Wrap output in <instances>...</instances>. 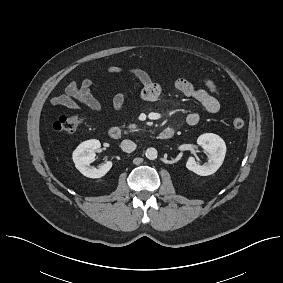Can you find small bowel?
<instances>
[{
	"mask_svg": "<svg viewBox=\"0 0 283 283\" xmlns=\"http://www.w3.org/2000/svg\"><path fill=\"white\" fill-rule=\"evenodd\" d=\"M110 73L121 72L120 67H108L106 69ZM129 72L134 75L142 85L141 97L145 101H155L162 93V86L155 82L148 72L141 68H131ZM203 88H195L183 75L175 81V87L182 94L196 100L208 113H216L220 109V103L217 97V87L215 83L205 78L202 81ZM92 81L84 79L80 84L70 82L65 89V94L57 95L51 98L50 102L53 106L65 107L71 110H80L81 104L90 110L101 113L102 107L97 99L91 93ZM126 94L117 93L112 100L115 110L124 109ZM200 121V115L197 112H191L186 117V122L190 126L197 125Z\"/></svg>",
	"mask_w": 283,
	"mask_h": 283,
	"instance_id": "1",
	"label": "small bowel"
}]
</instances>
